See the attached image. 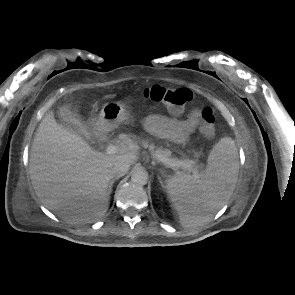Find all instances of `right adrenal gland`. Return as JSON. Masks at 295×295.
I'll list each match as a JSON object with an SVG mask.
<instances>
[{
  "instance_id": "2a0ac1e0",
  "label": "right adrenal gland",
  "mask_w": 295,
  "mask_h": 295,
  "mask_svg": "<svg viewBox=\"0 0 295 295\" xmlns=\"http://www.w3.org/2000/svg\"><path fill=\"white\" fill-rule=\"evenodd\" d=\"M119 179V176H116V177H113L112 180L110 181L109 183V189H108V192L111 193L112 192V187H113V184L116 180Z\"/></svg>"
}]
</instances>
